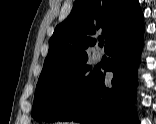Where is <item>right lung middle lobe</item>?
I'll use <instances>...</instances> for the list:
<instances>
[{"label": "right lung middle lobe", "instance_id": "obj_1", "mask_svg": "<svg viewBox=\"0 0 156 124\" xmlns=\"http://www.w3.org/2000/svg\"><path fill=\"white\" fill-rule=\"evenodd\" d=\"M99 73L84 62L40 78L36 86L32 117L39 121H59L81 100Z\"/></svg>", "mask_w": 156, "mask_h": 124}]
</instances>
